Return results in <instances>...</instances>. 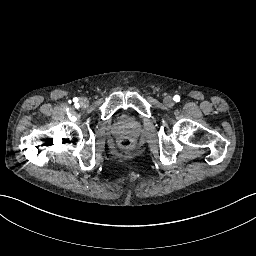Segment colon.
Returning <instances> with one entry per match:
<instances>
[{
  "mask_svg": "<svg viewBox=\"0 0 256 256\" xmlns=\"http://www.w3.org/2000/svg\"><path fill=\"white\" fill-rule=\"evenodd\" d=\"M116 147L119 150L125 149L126 152L129 153L132 150L137 149L138 144H137V142L131 140L128 137H122V138H120L119 142H117Z\"/></svg>",
  "mask_w": 256,
  "mask_h": 256,
  "instance_id": "obj_1",
  "label": "colon"
}]
</instances>
